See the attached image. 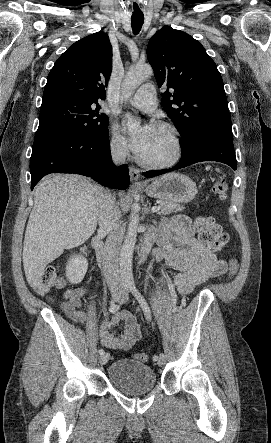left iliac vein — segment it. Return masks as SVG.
Returning <instances> with one entry per match:
<instances>
[{
	"mask_svg": "<svg viewBox=\"0 0 271 443\" xmlns=\"http://www.w3.org/2000/svg\"><path fill=\"white\" fill-rule=\"evenodd\" d=\"M127 300H128V298L125 297L122 299V302H125ZM165 362H166L165 355L163 353H160V355L158 357V365L163 366L165 364Z\"/></svg>",
	"mask_w": 271,
	"mask_h": 443,
	"instance_id": "1",
	"label": "left iliac vein"
}]
</instances>
